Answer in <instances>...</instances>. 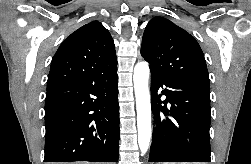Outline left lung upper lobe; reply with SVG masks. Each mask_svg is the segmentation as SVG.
Masks as SVG:
<instances>
[{
    "mask_svg": "<svg viewBox=\"0 0 251 164\" xmlns=\"http://www.w3.org/2000/svg\"><path fill=\"white\" fill-rule=\"evenodd\" d=\"M141 55L150 70L209 87V74L197 41L184 29L163 17L151 19L145 28Z\"/></svg>",
    "mask_w": 251,
    "mask_h": 164,
    "instance_id": "5c2ea615",
    "label": "left lung upper lobe"
}]
</instances>
